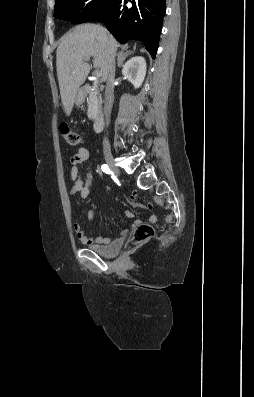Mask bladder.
I'll use <instances>...</instances> for the list:
<instances>
[{"mask_svg": "<svg viewBox=\"0 0 254 397\" xmlns=\"http://www.w3.org/2000/svg\"><path fill=\"white\" fill-rule=\"evenodd\" d=\"M121 248H122V241L117 240L104 246H92L91 250H93L95 253H97L100 256L114 257L121 251Z\"/></svg>", "mask_w": 254, "mask_h": 397, "instance_id": "31cf9c89", "label": "bladder"}]
</instances>
